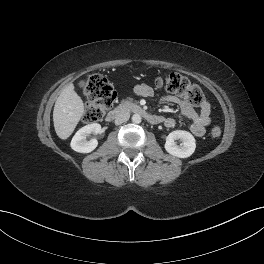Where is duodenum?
I'll return each mask as SVG.
<instances>
[{
  "label": "duodenum",
  "mask_w": 264,
  "mask_h": 264,
  "mask_svg": "<svg viewBox=\"0 0 264 264\" xmlns=\"http://www.w3.org/2000/svg\"><path fill=\"white\" fill-rule=\"evenodd\" d=\"M133 112L135 114L140 115L141 117H143L145 120H147L148 122H150L151 124H159L162 123L164 121V118L155 114H152L150 112H148L146 109H144L142 106L136 104V103H132V102H127L124 103L116 108H114L113 110H111L107 115L105 120L107 122H111L114 119H116L117 117H119L121 114H123L124 112Z\"/></svg>",
  "instance_id": "obj_1"
}]
</instances>
